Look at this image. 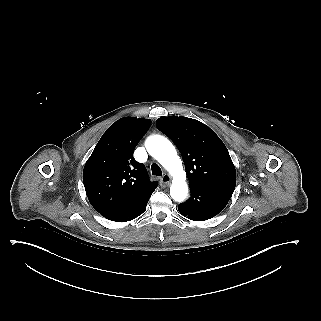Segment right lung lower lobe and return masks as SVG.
Masks as SVG:
<instances>
[{
	"mask_svg": "<svg viewBox=\"0 0 321 321\" xmlns=\"http://www.w3.org/2000/svg\"><path fill=\"white\" fill-rule=\"evenodd\" d=\"M149 198L144 200L143 202H141L136 207H134V208L122 213V214H119V215L109 218V220L116 221V222H126L129 220L135 219L136 217H138L139 215H141L145 211Z\"/></svg>",
	"mask_w": 321,
	"mask_h": 321,
	"instance_id": "right-lung-lower-lobe-1",
	"label": "right lung lower lobe"
}]
</instances>
